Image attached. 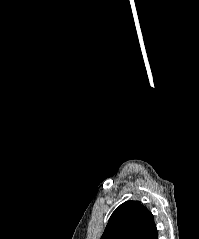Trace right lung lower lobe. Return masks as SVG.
Segmentation results:
<instances>
[{
  "label": "right lung lower lobe",
  "instance_id": "obj_1",
  "mask_svg": "<svg viewBox=\"0 0 199 239\" xmlns=\"http://www.w3.org/2000/svg\"><path fill=\"white\" fill-rule=\"evenodd\" d=\"M143 239H158V233L156 227H154Z\"/></svg>",
  "mask_w": 199,
  "mask_h": 239
}]
</instances>
